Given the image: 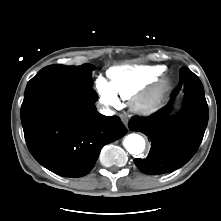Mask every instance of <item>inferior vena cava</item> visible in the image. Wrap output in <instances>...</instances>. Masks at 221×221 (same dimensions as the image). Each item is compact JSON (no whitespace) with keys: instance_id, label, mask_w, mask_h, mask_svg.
Listing matches in <instances>:
<instances>
[{"instance_id":"inferior-vena-cava-1","label":"inferior vena cava","mask_w":221,"mask_h":221,"mask_svg":"<svg viewBox=\"0 0 221 221\" xmlns=\"http://www.w3.org/2000/svg\"><path fill=\"white\" fill-rule=\"evenodd\" d=\"M99 112L106 116H111L113 114V112L106 106L100 107Z\"/></svg>"}]
</instances>
